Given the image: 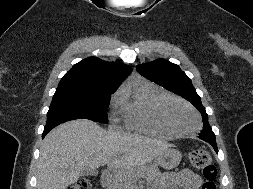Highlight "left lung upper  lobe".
Listing matches in <instances>:
<instances>
[{
	"label": "left lung upper lobe",
	"mask_w": 253,
	"mask_h": 189,
	"mask_svg": "<svg viewBox=\"0 0 253 189\" xmlns=\"http://www.w3.org/2000/svg\"><path fill=\"white\" fill-rule=\"evenodd\" d=\"M138 72L152 82L180 95L192 103L201 112L204 120L203 131L200 134L215 136L209 123L208 115L196 93L190 78L176 64L166 60H156L150 63L137 65Z\"/></svg>",
	"instance_id": "left-lung-upper-lobe-1"
}]
</instances>
